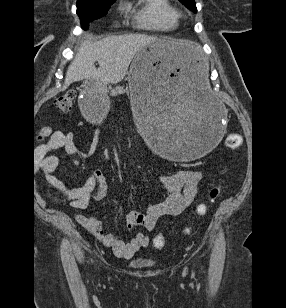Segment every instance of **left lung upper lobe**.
I'll return each mask as SVG.
<instances>
[{"label": "left lung upper lobe", "instance_id": "5c2ea615", "mask_svg": "<svg viewBox=\"0 0 286 308\" xmlns=\"http://www.w3.org/2000/svg\"><path fill=\"white\" fill-rule=\"evenodd\" d=\"M182 4H184L188 9L193 12H197L196 3L194 0H179Z\"/></svg>", "mask_w": 286, "mask_h": 308}]
</instances>
